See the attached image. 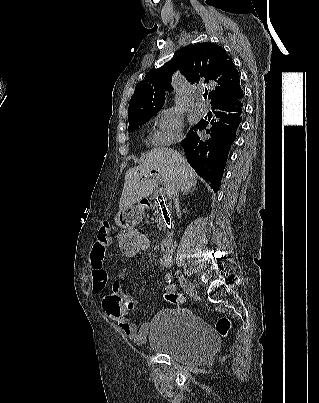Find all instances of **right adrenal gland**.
<instances>
[{
  "instance_id": "obj_1",
  "label": "right adrenal gland",
  "mask_w": 319,
  "mask_h": 403,
  "mask_svg": "<svg viewBox=\"0 0 319 403\" xmlns=\"http://www.w3.org/2000/svg\"><path fill=\"white\" fill-rule=\"evenodd\" d=\"M196 190V187L194 186L193 188H190V189H188V190H185L183 193H182V196H184L185 194H188L189 192H193V191H195Z\"/></svg>"
}]
</instances>
